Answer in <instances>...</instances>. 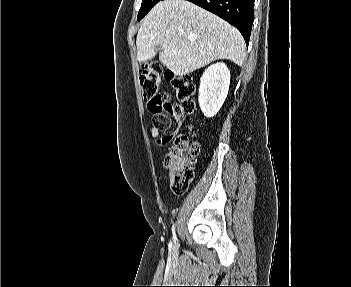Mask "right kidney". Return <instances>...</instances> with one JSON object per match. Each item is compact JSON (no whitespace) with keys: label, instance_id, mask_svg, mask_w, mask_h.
Segmentation results:
<instances>
[{"label":"right kidney","instance_id":"1","mask_svg":"<svg viewBox=\"0 0 351 287\" xmlns=\"http://www.w3.org/2000/svg\"><path fill=\"white\" fill-rule=\"evenodd\" d=\"M230 71L219 62L205 69L199 87V106L207 118L214 117L222 107L229 90Z\"/></svg>","mask_w":351,"mask_h":287}]
</instances>
